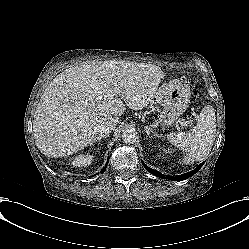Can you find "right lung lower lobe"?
<instances>
[{
  "label": "right lung lower lobe",
  "mask_w": 249,
  "mask_h": 249,
  "mask_svg": "<svg viewBox=\"0 0 249 249\" xmlns=\"http://www.w3.org/2000/svg\"><path fill=\"white\" fill-rule=\"evenodd\" d=\"M106 170V167H104L102 170H101V172H104Z\"/></svg>",
  "instance_id": "1"
}]
</instances>
